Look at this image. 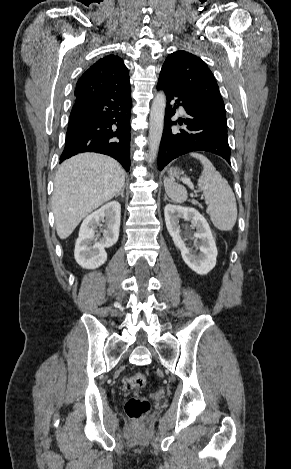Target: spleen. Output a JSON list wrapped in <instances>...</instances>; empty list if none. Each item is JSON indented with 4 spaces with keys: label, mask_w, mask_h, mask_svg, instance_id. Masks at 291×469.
Instances as JSON below:
<instances>
[{
    "label": "spleen",
    "mask_w": 291,
    "mask_h": 469,
    "mask_svg": "<svg viewBox=\"0 0 291 469\" xmlns=\"http://www.w3.org/2000/svg\"><path fill=\"white\" fill-rule=\"evenodd\" d=\"M200 160L203 171L198 179V187L203 191L207 203V213L214 226L221 231H230L237 220V203L235 195L227 180L216 171L213 164L202 154L191 153ZM167 195L177 203L187 200L185 187L175 183L172 179L164 178Z\"/></svg>",
    "instance_id": "spleen-1"
}]
</instances>
